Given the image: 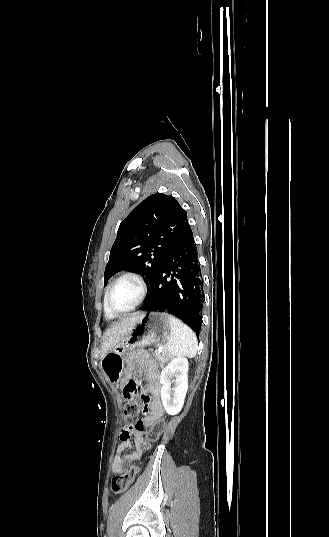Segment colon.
<instances>
[{
    "label": "colon",
    "mask_w": 329,
    "mask_h": 537,
    "mask_svg": "<svg viewBox=\"0 0 329 537\" xmlns=\"http://www.w3.org/2000/svg\"><path fill=\"white\" fill-rule=\"evenodd\" d=\"M124 406V421L125 428L132 430L136 429L144 433L143 450H147L153 442H155L164 430L165 423L163 420L157 421L151 427L145 429L141 420H138L139 415L144 411L143 403L147 401L145 395L131 396L125 400ZM138 467L133 465L125 473L119 474L112 478L111 489L115 494L124 492L133 482Z\"/></svg>",
    "instance_id": "obj_1"
}]
</instances>
